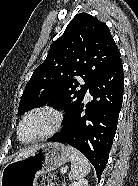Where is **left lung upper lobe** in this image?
Wrapping results in <instances>:
<instances>
[{
	"instance_id": "1",
	"label": "left lung upper lobe",
	"mask_w": 138,
	"mask_h": 186,
	"mask_svg": "<svg viewBox=\"0 0 138 186\" xmlns=\"http://www.w3.org/2000/svg\"><path fill=\"white\" fill-rule=\"evenodd\" d=\"M109 28L97 18L77 14L63 35L54 41L45 61L38 66L22 94L18 113L48 103L66 116L83 101L88 88L120 59ZM78 77L86 84L79 87Z\"/></svg>"
}]
</instances>
